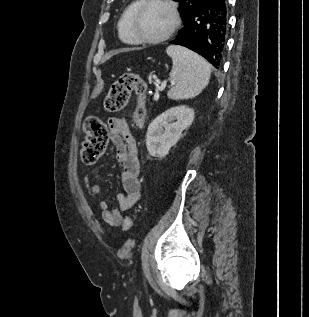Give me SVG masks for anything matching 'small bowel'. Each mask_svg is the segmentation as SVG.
I'll return each mask as SVG.
<instances>
[{"mask_svg": "<svg viewBox=\"0 0 309 317\" xmlns=\"http://www.w3.org/2000/svg\"><path fill=\"white\" fill-rule=\"evenodd\" d=\"M110 139L115 157L121 166V182L124 192L117 195L118 209H111L105 200L99 202L103 221L110 226H119L124 221L121 211L131 209L141 197L140 161L136 140L127 121L121 117L108 119ZM84 187L92 198L101 195V187L89 175L84 177Z\"/></svg>", "mask_w": 309, "mask_h": 317, "instance_id": "c3829d8e", "label": "small bowel"}]
</instances>
